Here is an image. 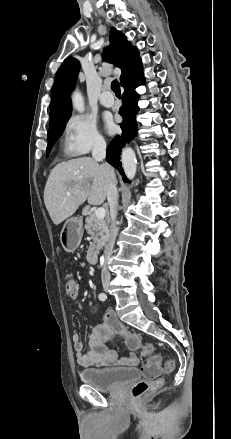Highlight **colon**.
I'll list each match as a JSON object with an SVG mask.
<instances>
[{
  "label": "colon",
  "mask_w": 231,
  "mask_h": 439,
  "mask_svg": "<svg viewBox=\"0 0 231 439\" xmlns=\"http://www.w3.org/2000/svg\"><path fill=\"white\" fill-rule=\"evenodd\" d=\"M65 288L70 297H77L78 285L75 280L68 279ZM124 337L130 349H141L143 354L147 356L146 362L141 367L143 378L136 381L131 387V396L134 399H140L161 384L162 373H168L173 370L174 360L168 359L162 365L161 358L153 352L151 346L143 344L138 335L127 331L124 333Z\"/></svg>",
  "instance_id": "1"
}]
</instances>
